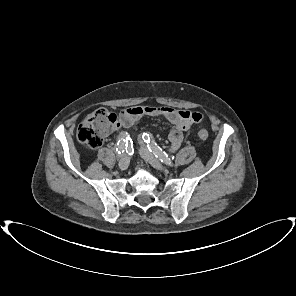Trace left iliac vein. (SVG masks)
<instances>
[{"label": "left iliac vein", "instance_id": "obj_1", "mask_svg": "<svg viewBox=\"0 0 296 296\" xmlns=\"http://www.w3.org/2000/svg\"><path fill=\"white\" fill-rule=\"evenodd\" d=\"M141 143H143V142L141 141ZM140 155L145 161L150 163L155 169L160 170V171H166V168L161 164V162L152 153H150L148 151L147 148L141 147Z\"/></svg>", "mask_w": 296, "mask_h": 296}]
</instances>
